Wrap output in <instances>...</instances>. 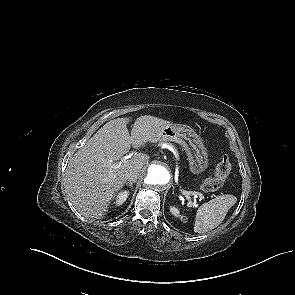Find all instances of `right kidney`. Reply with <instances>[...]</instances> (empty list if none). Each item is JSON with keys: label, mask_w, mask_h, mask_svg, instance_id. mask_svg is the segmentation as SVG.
<instances>
[{"label": "right kidney", "mask_w": 295, "mask_h": 295, "mask_svg": "<svg viewBox=\"0 0 295 295\" xmlns=\"http://www.w3.org/2000/svg\"><path fill=\"white\" fill-rule=\"evenodd\" d=\"M128 195H129V193L127 191L120 192L117 195L116 205L117 206L122 205L126 201V199L128 198Z\"/></svg>", "instance_id": "right-kidney-1"}]
</instances>
